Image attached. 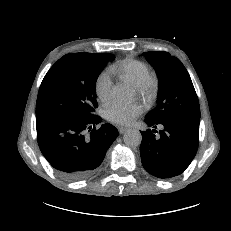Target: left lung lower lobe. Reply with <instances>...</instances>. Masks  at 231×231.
I'll list each match as a JSON object with an SVG mask.
<instances>
[{"label":"left lung lower lobe","mask_w":231,"mask_h":231,"mask_svg":"<svg viewBox=\"0 0 231 231\" xmlns=\"http://www.w3.org/2000/svg\"><path fill=\"white\" fill-rule=\"evenodd\" d=\"M149 127L162 125L160 136L156 130L142 131L141 161L144 169L158 178L180 175L196 155L199 142L200 117L187 116L154 122L146 119Z\"/></svg>","instance_id":"obj_1"}]
</instances>
